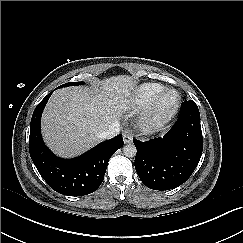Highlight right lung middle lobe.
<instances>
[{
    "mask_svg": "<svg viewBox=\"0 0 243 243\" xmlns=\"http://www.w3.org/2000/svg\"><path fill=\"white\" fill-rule=\"evenodd\" d=\"M82 84H84V82H69V83H66V84L59 86L58 88L71 86V85H82Z\"/></svg>",
    "mask_w": 243,
    "mask_h": 243,
    "instance_id": "right-lung-middle-lobe-1",
    "label": "right lung middle lobe"
}]
</instances>
